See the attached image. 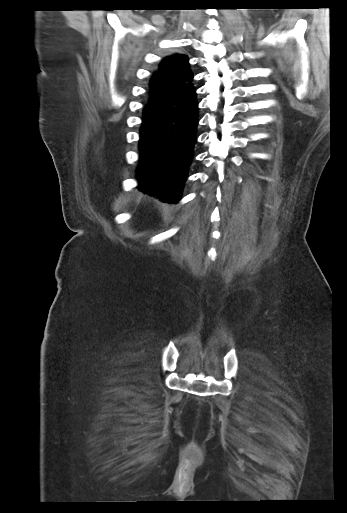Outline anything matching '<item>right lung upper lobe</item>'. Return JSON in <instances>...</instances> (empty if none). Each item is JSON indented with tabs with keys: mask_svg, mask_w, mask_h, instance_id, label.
Instances as JSON below:
<instances>
[{
	"mask_svg": "<svg viewBox=\"0 0 347 513\" xmlns=\"http://www.w3.org/2000/svg\"><path fill=\"white\" fill-rule=\"evenodd\" d=\"M188 60L186 55L179 54L164 58L150 81V96L166 97L189 85L193 74Z\"/></svg>",
	"mask_w": 347,
	"mask_h": 513,
	"instance_id": "cb5924a9",
	"label": "right lung upper lobe"
}]
</instances>
